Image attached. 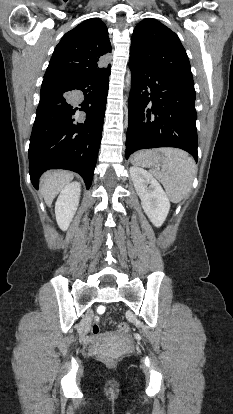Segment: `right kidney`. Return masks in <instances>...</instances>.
Returning a JSON list of instances; mask_svg holds the SVG:
<instances>
[{
	"label": "right kidney",
	"instance_id": "obj_1",
	"mask_svg": "<svg viewBox=\"0 0 233 414\" xmlns=\"http://www.w3.org/2000/svg\"><path fill=\"white\" fill-rule=\"evenodd\" d=\"M80 184L72 182L67 184L60 192L55 204V215L59 227L67 230L79 205Z\"/></svg>",
	"mask_w": 233,
	"mask_h": 414
}]
</instances>
